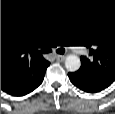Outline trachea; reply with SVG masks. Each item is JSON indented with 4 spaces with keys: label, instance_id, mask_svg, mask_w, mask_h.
<instances>
[{
    "label": "trachea",
    "instance_id": "trachea-1",
    "mask_svg": "<svg viewBox=\"0 0 115 114\" xmlns=\"http://www.w3.org/2000/svg\"><path fill=\"white\" fill-rule=\"evenodd\" d=\"M42 52L47 53V52H51V50L50 49H43ZM56 52L59 53V54H63L64 50L63 49H58Z\"/></svg>",
    "mask_w": 115,
    "mask_h": 114
}]
</instances>
